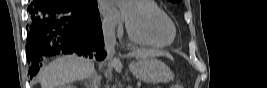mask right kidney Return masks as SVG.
Listing matches in <instances>:
<instances>
[{"label":"right kidney","mask_w":267,"mask_h":88,"mask_svg":"<svg viewBox=\"0 0 267 88\" xmlns=\"http://www.w3.org/2000/svg\"><path fill=\"white\" fill-rule=\"evenodd\" d=\"M59 88H75V86L68 84V85L60 86Z\"/></svg>","instance_id":"obj_1"}]
</instances>
